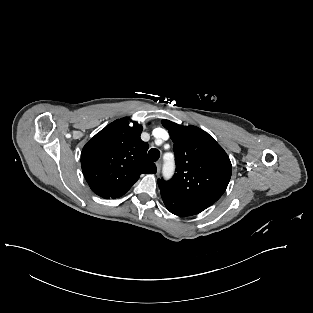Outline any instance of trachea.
<instances>
[{
  "mask_svg": "<svg viewBox=\"0 0 313 313\" xmlns=\"http://www.w3.org/2000/svg\"><path fill=\"white\" fill-rule=\"evenodd\" d=\"M160 157V152L156 149V148H152L149 150L148 152V158L153 161L156 162Z\"/></svg>",
  "mask_w": 313,
  "mask_h": 313,
  "instance_id": "obj_1",
  "label": "trachea"
}]
</instances>
